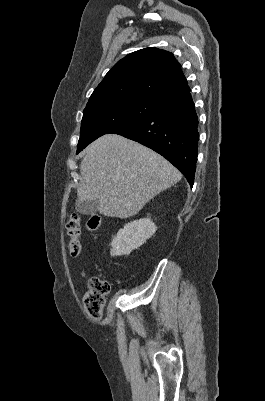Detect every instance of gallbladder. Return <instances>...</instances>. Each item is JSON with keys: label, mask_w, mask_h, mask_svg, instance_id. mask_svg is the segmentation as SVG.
<instances>
[{"label": "gallbladder", "mask_w": 265, "mask_h": 401, "mask_svg": "<svg viewBox=\"0 0 265 401\" xmlns=\"http://www.w3.org/2000/svg\"><path fill=\"white\" fill-rule=\"evenodd\" d=\"M75 209L81 215H95L99 209V201H85V203L76 201Z\"/></svg>", "instance_id": "bac80fb5"}]
</instances>
